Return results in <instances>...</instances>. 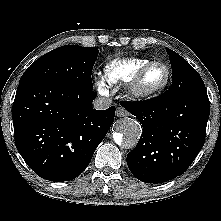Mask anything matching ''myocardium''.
Returning <instances> with one entry per match:
<instances>
[{"instance_id":"obj_1","label":"myocardium","mask_w":221,"mask_h":221,"mask_svg":"<svg viewBox=\"0 0 221 221\" xmlns=\"http://www.w3.org/2000/svg\"><path fill=\"white\" fill-rule=\"evenodd\" d=\"M163 66L166 70L165 80L156 87L148 88L144 85V78L146 74L155 66ZM171 80V69L170 67L161 61H152L145 65L130 82L129 92L135 99H151L160 95L169 85Z\"/></svg>"}]
</instances>
